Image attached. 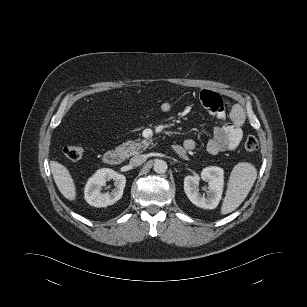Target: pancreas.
I'll return each instance as SVG.
<instances>
[{"mask_svg":"<svg viewBox=\"0 0 307 307\" xmlns=\"http://www.w3.org/2000/svg\"><path fill=\"white\" fill-rule=\"evenodd\" d=\"M151 141L137 139L134 141H126L121 146L117 147V150L121 152L125 157L137 155L145 150Z\"/></svg>","mask_w":307,"mask_h":307,"instance_id":"cf45deb5","label":"pancreas"}]
</instances>
